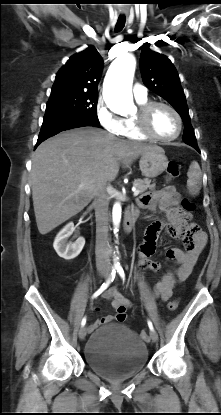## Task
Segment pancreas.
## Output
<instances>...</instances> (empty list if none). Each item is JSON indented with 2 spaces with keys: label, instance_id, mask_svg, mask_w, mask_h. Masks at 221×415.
<instances>
[{
  "label": "pancreas",
  "instance_id": "obj_1",
  "mask_svg": "<svg viewBox=\"0 0 221 415\" xmlns=\"http://www.w3.org/2000/svg\"><path fill=\"white\" fill-rule=\"evenodd\" d=\"M133 186L139 190V193H143L145 192L147 189L153 190L155 189L156 185L151 184V180L150 179H137L133 182Z\"/></svg>",
  "mask_w": 221,
  "mask_h": 415
}]
</instances>
